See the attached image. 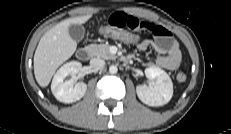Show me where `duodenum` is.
I'll list each match as a JSON object with an SVG mask.
<instances>
[{
    "mask_svg": "<svg viewBox=\"0 0 231 134\" xmlns=\"http://www.w3.org/2000/svg\"><path fill=\"white\" fill-rule=\"evenodd\" d=\"M90 54L91 51L89 48L85 47V48H80L77 50L76 52V57L80 60V61H87L90 58Z\"/></svg>",
    "mask_w": 231,
    "mask_h": 134,
    "instance_id": "obj_1",
    "label": "duodenum"
}]
</instances>
